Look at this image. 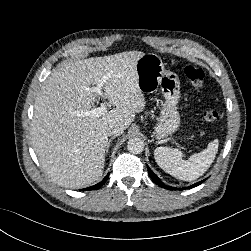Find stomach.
Returning a JSON list of instances; mask_svg holds the SVG:
<instances>
[{
  "mask_svg": "<svg viewBox=\"0 0 251 251\" xmlns=\"http://www.w3.org/2000/svg\"><path fill=\"white\" fill-rule=\"evenodd\" d=\"M138 87L142 93L161 90L165 98L160 117L154 128L157 139L173 134L180 126L177 104L180 98V81L174 72L165 70L161 57L154 53L144 54L136 63Z\"/></svg>",
  "mask_w": 251,
  "mask_h": 251,
  "instance_id": "0dacf381",
  "label": "stomach"
}]
</instances>
